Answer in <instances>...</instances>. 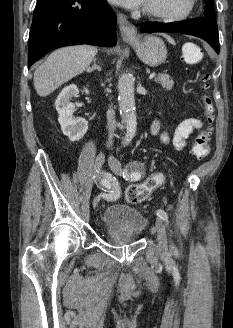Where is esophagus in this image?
Instances as JSON below:
<instances>
[{
	"label": "esophagus",
	"mask_w": 233,
	"mask_h": 328,
	"mask_svg": "<svg viewBox=\"0 0 233 328\" xmlns=\"http://www.w3.org/2000/svg\"><path fill=\"white\" fill-rule=\"evenodd\" d=\"M117 22L123 40L132 41L137 38L136 27L127 20L124 14L119 13L117 15Z\"/></svg>",
	"instance_id": "esophagus-1"
}]
</instances>
